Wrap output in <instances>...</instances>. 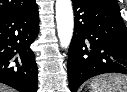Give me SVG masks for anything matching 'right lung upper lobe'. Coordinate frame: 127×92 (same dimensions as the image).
Instances as JSON below:
<instances>
[{
	"instance_id": "obj_1",
	"label": "right lung upper lobe",
	"mask_w": 127,
	"mask_h": 92,
	"mask_svg": "<svg viewBox=\"0 0 127 92\" xmlns=\"http://www.w3.org/2000/svg\"><path fill=\"white\" fill-rule=\"evenodd\" d=\"M36 6L35 0H0V17Z\"/></svg>"
}]
</instances>
